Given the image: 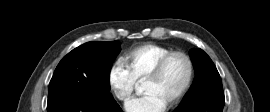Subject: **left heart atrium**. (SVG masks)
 <instances>
[{"instance_id":"obj_1","label":"left heart atrium","mask_w":270,"mask_h":112,"mask_svg":"<svg viewBox=\"0 0 270 112\" xmlns=\"http://www.w3.org/2000/svg\"><path fill=\"white\" fill-rule=\"evenodd\" d=\"M166 105L158 95L145 93L129 100L125 108L127 112H164Z\"/></svg>"}]
</instances>
